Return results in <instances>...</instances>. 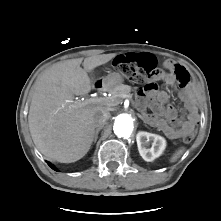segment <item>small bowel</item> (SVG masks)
<instances>
[{
    "instance_id": "1",
    "label": "small bowel",
    "mask_w": 221,
    "mask_h": 221,
    "mask_svg": "<svg viewBox=\"0 0 221 221\" xmlns=\"http://www.w3.org/2000/svg\"><path fill=\"white\" fill-rule=\"evenodd\" d=\"M140 54L142 53H127L118 57L127 55L131 60H134ZM163 65L167 72H162L159 76L165 82L172 83L179 80L187 81L188 84L189 73L183 65L172 60H166ZM139 96L142 100L148 101L150 105L152 112L149 117L150 121L171 139L182 137L183 133L187 129L193 128L197 122L198 114L193 107L187 86L180 92L183 107L179 111L168 104L169 96L164 90L152 88L147 92L140 91Z\"/></svg>"
}]
</instances>
